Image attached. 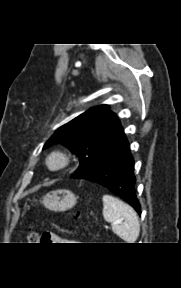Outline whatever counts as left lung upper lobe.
Returning a JSON list of instances; mask_svg holds the SVG:
<instances>
[{
	"label": "left lung upper lobe",
	"instance_id": "1",
	"mask_svg": "<svg viewBox=\"0 0 181 288\" xmlns=\"http://www.w3.org/2000/svg\"><path fill=\"white\" fill-rule=\"evenodd\" d=\"M124 131L108 105H99L85 111L60 127L45 143L43 149L62 143L80 158V166L71 176L88 175L120 143Z\"/></svg>",
	"mask_w": 181,
	"mask_h": 288
}]
</instances>
